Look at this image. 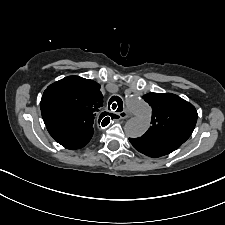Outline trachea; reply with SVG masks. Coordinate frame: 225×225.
Wrapping results in <instances>:
<instances>
[{
  "instance_id": "3493384b",
  "label": "trachea",
  "mask_w": 225,
  "mask_h": 225,
  "mask_svg": "<svg viewBox=\"0 0 225 225\" xmlns=\"http://www.w3.org/2000/svg\"><path fill=\"white\" fill-rule=\"evenodd\" d=\"M110 105L113 110L116 109V112H121L123 110V102L120 97L117 96L111 97V99L109 100V109ZM115 116L116 115L112 114V118H114Z\"/></svg>"
}]
</instances>
